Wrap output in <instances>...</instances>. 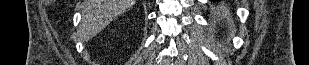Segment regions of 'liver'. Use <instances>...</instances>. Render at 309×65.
Instances as JSON below:
<instances>
[{
  "label": "liver",
  "instance_id": "liver-1",
  "mask_svg": "<svg viewBox=\"0 0 309 65\" xmlns=\"http://www.w3.org/2000/svg\"><path fill=\"white\" fill-rule=\"evenodd\" d=\"M134 3L135 0H84L79 29L82 40L92 39Z\"/></svg>",
  "mask_w": 309,
  "mask_h": 65
}]
</instances>
